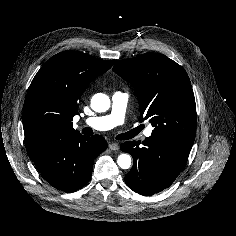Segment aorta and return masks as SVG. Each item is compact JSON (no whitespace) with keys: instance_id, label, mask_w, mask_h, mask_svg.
<instances>
[{"instance_id":"1","label":"aorta","mask_w":236,"mask_h":236,"mask_svg":"<svg viewBox=\"0 0 236 236\" xmlns=\"http://www.w3.org/2000/svg\"><path fill=\"white\" fill-rule=\"evenodd\" d=\"M91 107L96 112H105L110 107V99L106 95H101L97 99L91 101ZM117 163L120 168L128 169L131 166V157L128 154L118 156Z\"/></svg>"}]
</instances>
